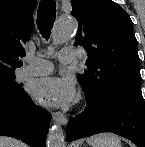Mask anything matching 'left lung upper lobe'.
Segmentation results:
<instances>
[{
	"label": "left lung upper lobe",
	"instance_id": "left-lung-upper-lobe-1",
	"mask_svg": "<svg viewBox=\"0 0 145 147\" xmlns=\"http://www.w3.org/2000/svg\"><path fill=\"white\" fill-rule=\"evenodd\" d=\"M78 21L75 45L87 51V70L78 75L88 101L141 86L137 40L130 16L112 0H71Z\"/></svg>",
	"mask_w": 145,
	"mask_h": 147
}]
</instances>
